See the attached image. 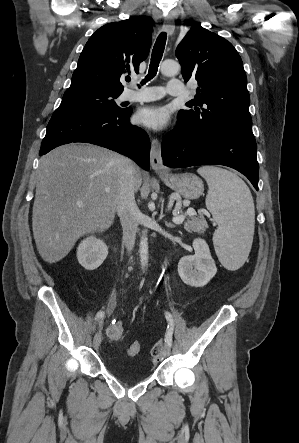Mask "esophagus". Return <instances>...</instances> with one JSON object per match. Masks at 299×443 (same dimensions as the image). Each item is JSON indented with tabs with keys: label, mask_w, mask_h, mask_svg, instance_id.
I'll list each match as a JSON object with an SVG mask.
<instances>
[{
	"label": "esophagus",
	"mask_w": 299,
	"mask_h": 443,
	"mask_svg": "<svg viewBox=\"0 0 299 443\" xmlns=\"http://www.w3.org/2000/svg\"><path fill=\"white\" fill-rule=\"evenodd\" d=\"M174 25H173V17L172 15H168L165 18L164 24H163V30L167 32L169 35H172L174 32ZM150 163L152 169L157 172H165L166 168L163 165L162 155H161V145L158 139H153L151 142V151H150Z\"/></svg>",
	"instance_id": "obj_1"
}]
</instances>
